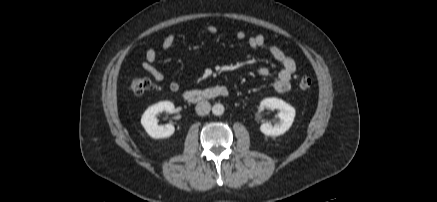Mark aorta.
<instances>
[{"label":"aorta","instance_id":"762f6f07","mask_svg":"<svg viewBox=\"0 0 437 202\" xmlns=\"http://www.w3.org/2000/svg\"><path fill=\"white\" fill-rule=\"evenodd\" d=\"M212 113L216 116H220L224 113V106L220 103H216L212 107Z\"/></svg>","mask_w":437,"mask_h":202}]
</instances>
